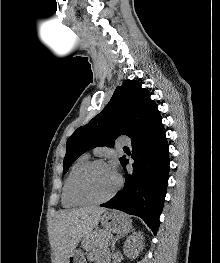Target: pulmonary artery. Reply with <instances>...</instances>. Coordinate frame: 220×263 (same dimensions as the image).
<instances>
[{
	"instance_id": "obj_1",
	"label": "pulmonary artery",
	"mask_w": 220,
	"mask_h": 263,
	"mask_svg": "<svg viewBox=\"0 0 220 263\" xmlns=\"http://www.w3.org/2000/svg\"><path fill=\"white\" fill-rule=\"evenodd\" d=\"M118 142L122 145H129L131 143L130 138L127 136H120Z\"/></svg>"
}]
</instances>
